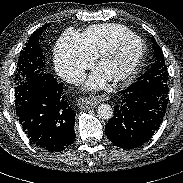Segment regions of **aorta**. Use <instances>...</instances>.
Returning <instances> with one entry per match:
<instances>
[{
    "label": "aorta",
    "instance_id": "obj_1",
    "mask_svg": "<svg viewBox=\"0 0 183 183\" xmlns=\"http://www.w3.org/2000/svg\"><path fill=\"white\" fill-rule=\"evenodd\" d=\"M97 114L100 119L110 120L113 117V109L108 104H101L97 108Z\"/></svg>",
    "mask_w": 183,
    "mask_h": 183
}]
</instances>
